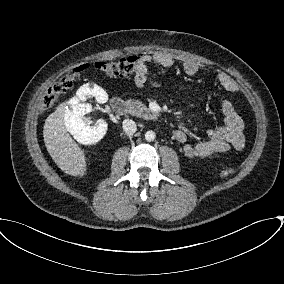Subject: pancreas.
<instances>
[{
	"mask_svg": "<svg viewBox=\"0 0 284 284\" xmlns=\"http://www.w3.org/2000/svg\"><path fill=\"white\" fill-rule=\"evenodd\" d=\"M127 105L130 113L133 116L142 117L145 119H153L156 117L155 113H152L150 109L139 100L129 99L127 100Z\"/></svg>",
	"mask_w": 284,
	"mask_h": 284,
	"instance_id": "cf45deb5",
	"label": "pancreas"
}]
</instances>
